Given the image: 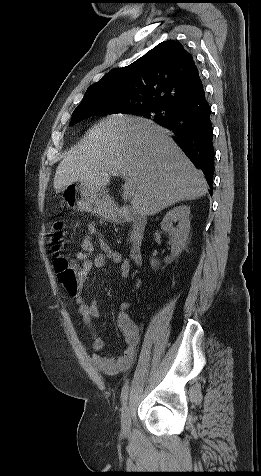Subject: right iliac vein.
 Instances as JSON below:
<instances>
[{"label":"right iliac vein","mask_w":261,"mask_h":476,"mask_svg":"<svg viewBox=\"0 0 261 476\" xmlns=\"http://www.w3.org/2000/svg\"><path fill=\"white\" fill-rule=\"evenodd\" d=\"M121 429L124 434H128L130 431V406L126 402L121 414Z\"/></svg>","instance_id":"1"}]
</instances>
